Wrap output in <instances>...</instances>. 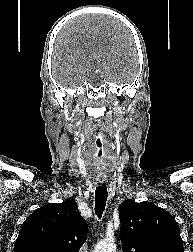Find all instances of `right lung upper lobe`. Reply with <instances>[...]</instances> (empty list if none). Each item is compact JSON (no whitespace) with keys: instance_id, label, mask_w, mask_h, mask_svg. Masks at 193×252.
<instances>
[{"instance_id":"obj_1","label":"right lung upper lobe","mask_w":193,"mask_h":252,"mask_svg":"<svg viewBox=\"0 0 193 252\" xmlns=\"http://www.w3.org/2000/svg\"><path fill=\"white\" fill-rule=\"evenodd\" d=\"M87 231L74 200L45 204L24 221L14 252H79Z\"/></svg>"}]
</instances>
